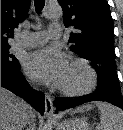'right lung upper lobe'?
I'll return each mask as SVG.
<instances>
[{"mask_svg": "<svg viewBox=\"0 0 123 130\" xmlns=\"http://www.w3.org/2000/svg\"><path fill=\"white\" fill-rule=\"evenodd\" d=\"M30 0H1V44H8L14 29L26 17Z\"/></svg>", "mask_w": 123, "mask_h": 130, "instance_id": "right-lung-upper-lobe-1", "label": "right lung upper lobe"}]
</instances>
